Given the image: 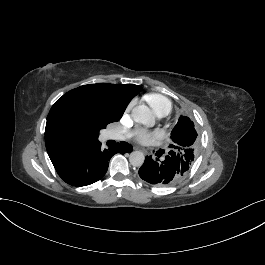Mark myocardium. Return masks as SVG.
<instances>
[{"mask_svg": "<svg viewBox=\"0 0 265 265\" xmlns=\"http://www.w3.org/2000/svg\"><path fill=\"white\" fill-rule=\"evenodd\" d=\"M152 110L154 111V109H152ZM157 118H162V117H158V116H157Z\"/></svg>", "mask_w": 265, "mask_h": 265, "instance_id": "f54148a6", "label": "myocardium"}]
</instances>
